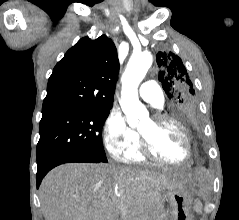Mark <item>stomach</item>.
Returning a JSON list of instances; mask_svg holds the SVG:
<instances>
[{
  "label": "stomach",
  "mask_w": 239,
  "mask_h": 220,
  "mask_svg": "<svg viewBox=\"0 0 239 220\" xmlns=\"http://www.w3.org/2000/svg\"><path fill=\"white\" fill-rule=\"evenodd\" d=\"M165 199L170 206V208H166V213L172 214V220H191L192 200L184 188L168 189L165 193ZM161 204L162 210H164L165 201L163 200Z\"/></svg>",
  "instance_id": "obj_1"
}]
</instances>
